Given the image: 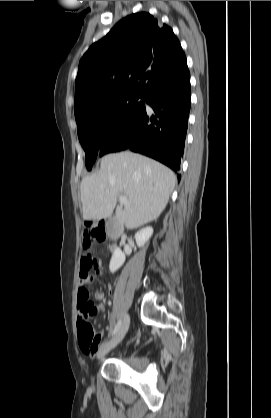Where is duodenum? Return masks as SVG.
Segmentation results:
<instances>
[{
	"mask_svg": "<svg viewBox=\"0 0 271 418\" xmlns=\"http://www.w3.org/2000/svg\"><path fill=\"white\" fill-rule=\"evenodd\" d=\"M119 237V234H114L113 238L117 239Z\"/></svg>",
	"mask_w": 271,
	"mask_h": 418,
	"instance_id": "410a0bca",
	"label": "duodenum"
}]
</instances>
